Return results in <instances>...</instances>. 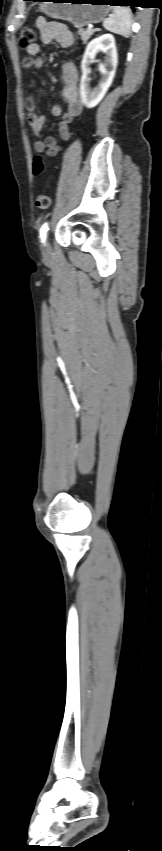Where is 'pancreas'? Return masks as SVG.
<instances>
[{
	"instance_id": "cf45deb5",
	"label": "pancreas",
	"mask_w": 162,
	"mask_h": 851,
	"mask_svg": "<svg viewBox=\"0 0 162 851\" xmlns=\"http://www.w3.org/2000/svg\"><path fill=\"white\" fill-rule=\"evenodd\" d=\"M96 32L95 29L85 30L79 27L78 34L81 36L83 43H87L90 37Z\"/></svg>"
}]
</instances>
